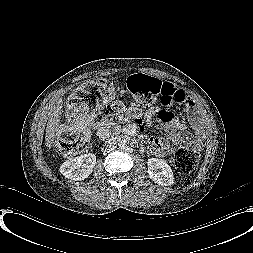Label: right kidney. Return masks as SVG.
I'll return each mask as SVG.
<instances>
[{"mask_svg":"<svg viewBox=\"0 0 253 253\" xmlns=\"http://www.w3.org/2000/svg\"><path fill=\"white\" fill-rule=\"evenodd\" d=\"M95 164L96 156L88 153L66 160L59 171L70 180H84L92 173Z\"/></svg>","mask_w":253,"mask_h":253,"instance_id":"ca27d5eb","label":"right kidney"}]
</instances>
